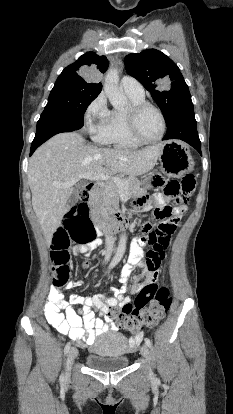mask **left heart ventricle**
I'll list each match as a JSON object with an SVG mask.
<instances>
[{
    "label": "left heart ventricle",
    "instance_id": "1",
    "mask_svg": "<svg viewBox=\"0 0 233 414\" xmlns=\"http://www.w3.org/2000/svg\"><path fill=\"white\" fill-rule=\"evenodd\" d=\"M138 129L146 139L157 138L162 129V122L159 114L154 109H146L137 119Z\"/></svg>",
    "mask_w": 233,
    "mask_h": 414
}]
</instances>
